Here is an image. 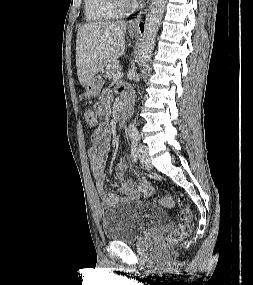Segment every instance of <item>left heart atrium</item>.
Returning <instances> with one entry per match:
<instances>
[{"mask_svg":"<svg viewBox=\"0 0 253 285\" xmlns=\"http://www.w3.org/2000/svg\"><path fill=\"white\" fill-rule=\"evenodd\" d=\"M136 1H138V0H132V2H136Z\"/></svg>","mask_w":253,"mask_h":285,"instance_id":"obj_1","label":"left heart atrium"}]
</instances>
